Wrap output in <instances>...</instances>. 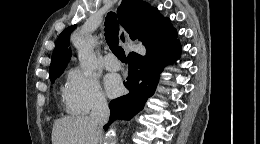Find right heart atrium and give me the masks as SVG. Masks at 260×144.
Listing matches in <instances>:
<instances>
[{
	"label": "right heart atrium",
	"instance_id": "1",
	"mask_svg": "<svg viewBox=\"0 0 260 144\" xmlns=\"http://www.w3.org/2000/svg\"><path fill=\"white\" fill-rule=\"evenodd\" d=\"M64 96L70 111L77 114H87L107 105L98 79L80 68L69 71Z\"/></svg>",
	"mask_w": 260,
	"mask_h": 144
}]
</instances>
